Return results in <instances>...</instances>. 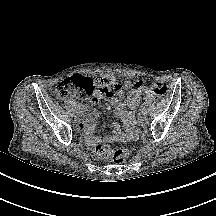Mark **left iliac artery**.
I'll use <instances>...</instances> for the list:
<instances>
[{"label":"left iliac artery","instance_id":"left-iliac-artery-1","mask_svg":"<svg viewBox=\"0 0 216 216\" xmlns=\"http://www.w3.org/2000/svg\"><path fill=\"white\" fill-rule=\"evenodd\" d=\"M140 111H141V112H144V111H145V107H144V106H141Z\"/></svg>","mask_w":216,"mask_h":216}]
</instances>
